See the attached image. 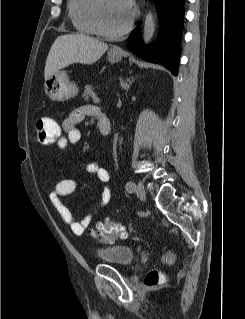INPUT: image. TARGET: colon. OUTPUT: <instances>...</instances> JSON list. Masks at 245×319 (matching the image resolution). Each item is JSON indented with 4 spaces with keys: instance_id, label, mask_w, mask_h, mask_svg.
I'll return each mask as SVG.
<instances>
[{
    "instance_id": "obj_1",
    "label": "colon",
    "mask_w": 245,
    "mask_h": 319,
    "mask_svg": "<svg viewBox=\"0 0 245 319\" xmlns=\"http://www.w3.org/2000/svg\"><path fill=\"white\" fill-rule=\"evenodd\" d=\"M35 131L38 142L43 145L55 143L61 134L59 124L51 117L39 118L36 122ZM91 234L104 242H113L117 238H126L128 235L123 225L110 220L99 221L95 229L91 230ZM161 279L159 272L152 270L146 277V284L156 286L161 282Z\"/></svg>"
}]
</instances>
